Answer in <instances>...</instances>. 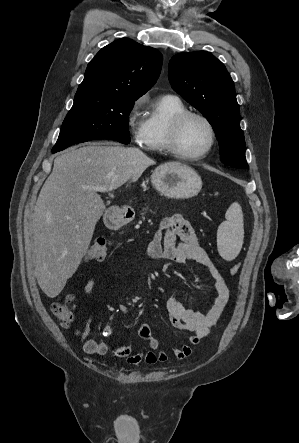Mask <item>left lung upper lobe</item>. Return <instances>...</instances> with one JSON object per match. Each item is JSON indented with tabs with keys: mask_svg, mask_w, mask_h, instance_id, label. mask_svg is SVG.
I'll return each mask as SVG.
<instances>
[{
	"mask_svg": "<svg viewBox=\"0 0 299 443\" xmlns=\"http://www.w3.org/2000/svg\"><path fill=\"white\" fill-rule=\"evenodd\" d=\"M168 76L172 88L212 125L221 161L248 169L234 83L224 64L207 51L180 53L171 58Z\"/></svg>",
	"mask_w": 299,
	"mask_h": 443,
	"instance_id": "obj_1",
	"label": "left lung upper lobe"
}]
</instances>
